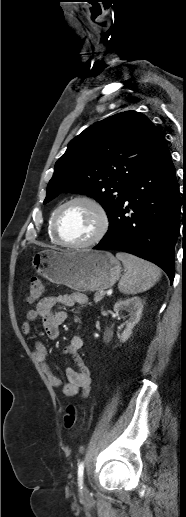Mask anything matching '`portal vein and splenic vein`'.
Listing matches in <instances>:
<instances>
[{
  "instance_id": "1",
  "label": "portal vein and splenic vein",
  "mask_w": 186,
  "mask_h": 517,
  "mask_svg": "<svg viewBox=\"0 0 186 517\" xmlns=\"http://www.w3.org/2000/svg\"><path fill=\"white\" fill-rule=\"evenodd\" d=\"M101 294L105 295V294H106V292H105V291H101Z\"/></svg>"
}]
</instances>
